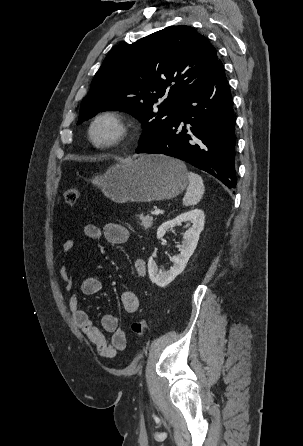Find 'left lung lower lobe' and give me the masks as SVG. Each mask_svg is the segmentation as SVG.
Returning a JSON list of instances; mask_svg holds the SVG:
<instances>
[{
    "instance_id": "0a47b994",
    "label": "left lung lower lobe",
    "mask_w": 303,
    "mask_h": 446,
    "mask_svg": "<svg viewBox=\"0 0 303 446\" xmlns=\"http://www.w3.org/2000/svg\"><path fill=\"white\" fill-rule=\"evenodd\" d=\"M188 127L180 126L181 122ZM235 121L223 64L214 67L174 107L161 134L136 153L165 154L236 187Z\"/></svg>"
}]
</instances>
